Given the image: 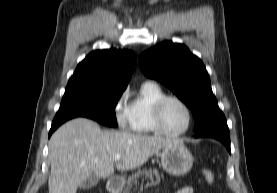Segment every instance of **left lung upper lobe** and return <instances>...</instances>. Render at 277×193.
<instances>
[{
  "instance_id": "1",
  "label": "left lung upper lobe",
  "mask_w": 277,
  "mask_h": 193,
  "mask_svg": "<svg viewBox=\"0 0 277 193\" xmlns=\"http://www.w3.org/2000/svg\"><path fill=\"white\" fill-rule=\"evenodd\" d=\"M143 73L170 88L193 112L195 135L227 123L203 62L183 44L165 41L138 59Z\"/></svg>"
}]
</instances>
